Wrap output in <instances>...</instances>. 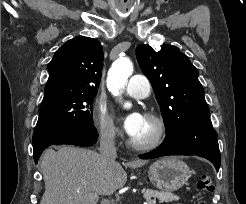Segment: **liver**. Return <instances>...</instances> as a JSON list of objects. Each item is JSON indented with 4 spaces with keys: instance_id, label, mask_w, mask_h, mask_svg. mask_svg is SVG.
Segmentation results:
<instances>
[{
    "instance_id": "1",
    "label": "liver",
    "mask_w": 246,
    "mask_h": 204,
    "mask_svg": "<svg viewBox=\"0 0 246 204\" xmlns=\"http://www.w3.org/2000/svg\"><path fill=\"white\" fill-rule=\"evenodd\" d=\"M146 163L138 159L122 164L135 169ZM41 171L45 192L40 204H97L99 195L110 196L127 181L119 162H106L94 150L72 146L48 149Z\"/></svg>"
}]
</instances>
